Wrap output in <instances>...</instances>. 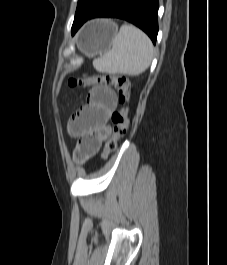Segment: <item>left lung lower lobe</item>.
I'll list each match as a JSON object with an SVG mask.
<instances>
[{
    "label": "left lung lower lobe",
    "instance_id": "0a47b994",
    "mask_svg": "<svg viewBox=\"0 0 227 265\" xmlns=\"http://www.w3.org/2000/svg\"><path fill=\"white\" fill-rule=\"evenodd\" d=\"M158 0H105L90 16L72 26V35L89 19L114 17L141 28L156 43Z\"/></svg>",
    "mask_w": 227,
    "mask_h": 265
}]
</instances>
